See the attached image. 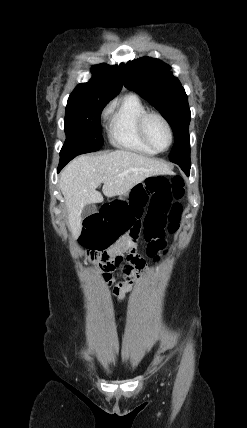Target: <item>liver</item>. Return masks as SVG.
Instances as JSON below:
<instances>
[{"instance_id": "obj_1", "label": "liver", "mask_w": 247, "mask_h": 428, "mask_svg": "<svg viewBox=\"0 0 247 428\" xmlns=\"http://www.w3.org/2000/svg\"><path fill=\"white\" fill-rule=\"evenodd\" d=\"M170 173L164 162L127 150L77 157L65 167L59 183L73 236L81 231L83 208L103 201L96 190L101 183L103 194L114 197L129 192L148 177Z\"/></svg>"}]
</instances>
